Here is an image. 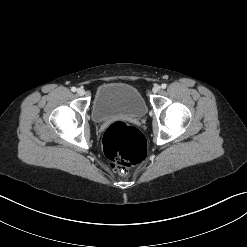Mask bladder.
<instances>
[{
  "mask_svg": "<svg viewBox=\"0 0 247 247\" xmlns=\"http://www.w3.org/2000/svg\"><path fill=\"white\" fill-rule=\"evenodd\" d=\"M146 112L144 98L132 85L104 83L95 91L91 114L97 123L114 117L141 118Z\"/></svg>",
  "mask_w": 247,
  "mask_h": 247,
  "instance_id": "31cf9c89",
  "label": "bladder"
}]
</instances>
